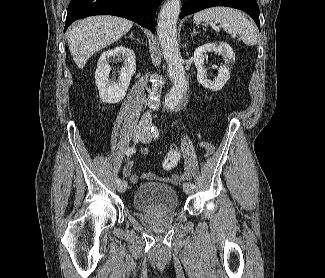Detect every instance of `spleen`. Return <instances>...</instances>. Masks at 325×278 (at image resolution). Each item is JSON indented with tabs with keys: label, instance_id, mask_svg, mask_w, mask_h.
<instances>
[{
	"label": "spleen",
	"instance_id": "1",
	"mask_svg": "<svg viewBox=\"0 0 325 278\" xmlns=\"http://www.w3.org/2000/svg\"><path fill=\"white\" fill-rule=\"evenodd\" d=\"M193 19L196 22H218L225 32L238 35L246 45L253 46L258 41L256 27L236 9L212 7L196 13Z\"/></svg>",
	"mask_w": 325,
	"mask_h": 278
}]
</instances>
